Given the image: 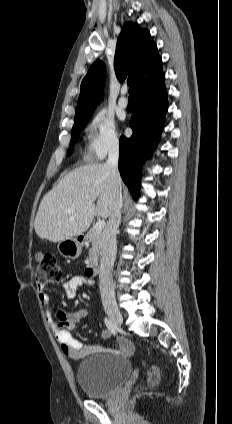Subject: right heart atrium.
Returning <instances> with one entry per match:
<instances>
[{
    "label": "right heart atrium",
    "mask_w": 232,
    "mask_h": 424,
    "mask_svg": "<svg viewBox=\"0 0 232 424\" xmlns=\"http://www.w3.org/2000/svg\"><path fill=\"white\" fill-rule=\"evenodd\" d=\"M120 146V135L112 117L104 111L94 114L89 125L88 152L97 159H103L108 153Z\"/></svg>",
    "instance_id": "d8ad5b80"
}]
</instances>
